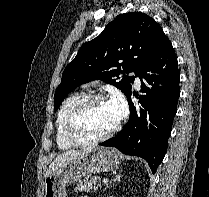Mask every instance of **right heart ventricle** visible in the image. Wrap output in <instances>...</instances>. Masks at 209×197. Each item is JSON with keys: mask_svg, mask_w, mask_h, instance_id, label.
<instances>
[{"mask_svg": "<svg viewBox=\"0 0 209 197\" xmlns=\"http://www.w3.org/2000/svg\"><path fill=\"white\" fill-rule=\"evenodd\" d=\"M86 97L84 91H78L69 95L62 103L56 118V142L60 149L68 150L74 147L67 141L64 135L65 119L68 113L76 106L83 98Z\"/></svg>", "mask_w": 209, "mask_h": 197, "instance_id": "obj_1", "label": "right heart ventricle"}]
</instances>
